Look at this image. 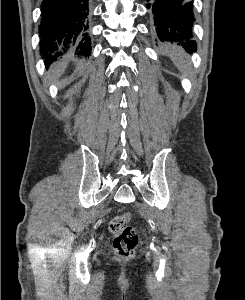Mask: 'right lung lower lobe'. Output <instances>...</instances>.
Listing matches in <instances>:
<instances>
[{"instance_id":"obj_1","label":"right lung lower lobe","mask_w":245,"mask_h":300,"mask_svg":"<svg viewBox=\"0 0 245 300\" xmlns=\"http://www.w3.org/2000/svg\"><path fill=\"white\" fill-rule=\"evenodd\" d=\"M41 48L46 65L66 52L89 56V0H43Z\"/></svg>"}]
</instances>
